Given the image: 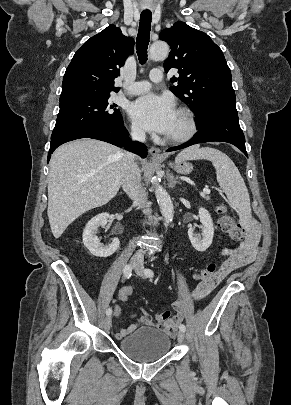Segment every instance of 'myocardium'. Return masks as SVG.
Listing matches in <instances>:
<instances>
[{"label": "myocardium", "mask_w": 291, "mask_h": 405, "mask_svg": "<svg viewBox=\"0 0 291 405\" xmlns=\"http://www.w3.org/2000/svg\"><path fill=\"white\" fill-rule=\"evenodd\" d=\"M185 120V130L177 135H167L165 141L170 144H182L189 141L197 132V121L193 112L186 107H179L176 111Z\"/></svg>", "instance_id": "obj_1"}]
</instances>
